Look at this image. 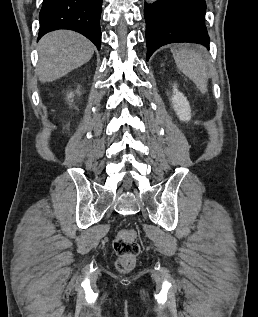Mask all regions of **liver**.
<instances>
[{
  "label": "liver",
  "mask_w": 258,
  "mask_h": 317,
  "mask_svg": "<svg viewBox=\"0 0 258 317\" xmlns=\"http://www.w3.org/2000/svg\"><path fill=\"white\" fill-rule=\"evenodd\" d=\"M38 76L51 82L90 60L94 46L88 38L73 30H54L39 40Z\"/></svg>",
  "instance_id": "liver-1"
}]
</instances>
